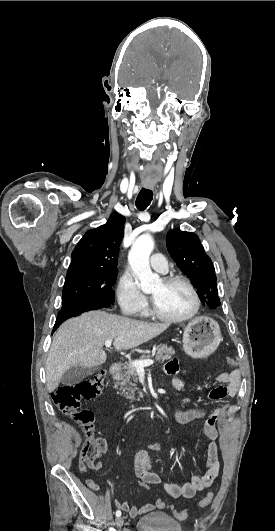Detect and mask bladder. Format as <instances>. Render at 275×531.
<instances>
[{
    "mask_svg": "<svg viewBox=\"0 0 275 531\" xmlns=\"http://www.w3.org/2000/svg\"><path fill=\"white\" fill-rule=\"evenodd\" d=\"M134 531H181V523L167 512H150L137 520Z\"/></svg>",
    "mask_w": 275,
    "mask_h": 531,
    "instance_id": "obj_1",
    "label": "bladder"
}]
</instances>
